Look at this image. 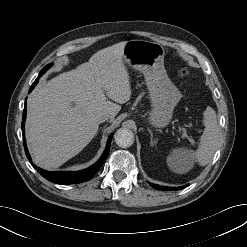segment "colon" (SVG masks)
<instances>
[{
  "label": "colon",
  "mask_w": 247,
  "mask_h": 247,
  "mask_svg": "<svg viewBox=\"0 0 247 247\" xmlns=\"http://www.w3.org/2000/svg\"><path fill=\"white\" fill-rule=\"evenodd\" d=\"M187 74H188V71H187V70H182V71H181V75H182V76H186Z\"/></svg>",
  "instance_id": "5ec220e1"
}]
</instances>
